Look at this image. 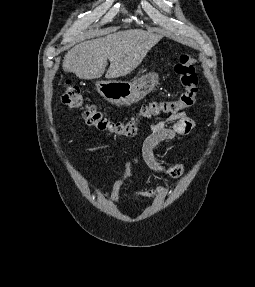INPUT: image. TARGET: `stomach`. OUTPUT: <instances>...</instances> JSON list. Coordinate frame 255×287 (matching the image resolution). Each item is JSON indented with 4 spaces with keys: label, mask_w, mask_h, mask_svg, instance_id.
<instances>
[{
    "label": "stomach",
    "mask_w": 255,
    "mask_h": 287,
    "mask_svg": "<svg viewBox=\"0 0 255 287\" xmlns=\"http://www.w3.org/2000/svg\"><path fill=\"white\" fill-rule=\"evenodd\" d=\"M156 78L147 76V78H138L134 82H119V80H110V82H96V90L104 100L116 104V106H131L139 100H143L149 92L154 90Z\"/></svg>",
    "instance_id": "1"
}]
</instances>
